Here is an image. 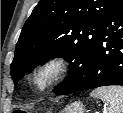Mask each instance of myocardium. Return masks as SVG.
I'll return each mask as SVG.
<instances>
[{"label":"myocardium","mask_w":123,"mask_h":113,"mask_svg":"<svg viewBox=\"0 0 123 113\" xmlns=\"http://www.w3.org/2000/svg\"><path fill=\"white\" fill-rule=\"evenodd\" d=\"M67 65L63 56H53L39 62L31 71L29 82L37 92H44L60 80Z\"/></svg>","instance_id":"f54148a6"}]
</instances>
